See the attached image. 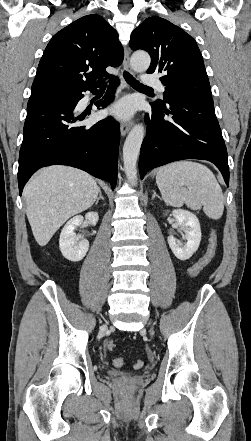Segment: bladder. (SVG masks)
I'll return each mask as SVG.
<instances>
[{
  "label": "bladder",
  "mask_w": 251,
  "mask_h": 441,
  "mask_svg": "<svg viewBox=\"0 0 251 441\" xmlns=\"http://www.w3.org/2000/svg\"><path fill=\"white\" fill-rule=\"evenodd\" d=\"M108 375L111 377H116V376H125L127 375V373L123 371L110 370L108 371Z\"/></svg>",
  "instance_id": "bladder-1"
}]
</instances>
